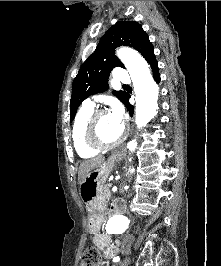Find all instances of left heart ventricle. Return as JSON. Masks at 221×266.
<instances>
[{"instance_id": "obj_1", "label": "left heart ventricle", "mask_w": 221, "mask_h": 266, "mask_svg": "<svg viewBox=\"0 0 221 266\" xmlns=\"http://www.w3.org/2000/svg\"><path fill=\"white\" fill-rule=\"evenodd\" d=\"M123 126L118 125L109 114L100 116L98 120V135L105 142L115 141L121 134Z\"/></svg>"}]
</instances>
